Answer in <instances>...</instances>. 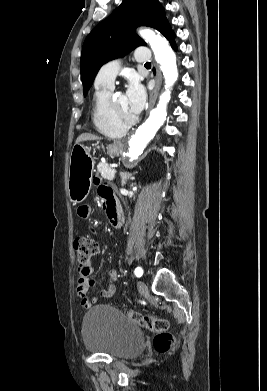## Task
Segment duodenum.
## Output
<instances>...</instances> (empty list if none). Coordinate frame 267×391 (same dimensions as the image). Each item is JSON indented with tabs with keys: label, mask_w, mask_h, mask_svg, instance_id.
<instances>
[{
	"label": "duodenum",
	"mask_w": 267,
	"mask_h": 391,
	"mask_svg": "<svg viewBox=\"0 0 267 391\" xmlns=\"http://www.w3.org/2000/svg\"><path fill=\"white\" fill-rule=\"evenodd\" d=\"M110 221H111V224L115 227V228H120L123 224V217L121 215V213L119 212H114L111 216H110Z\"/></svg>",
	"instance_id": "duodenum-1"
}]
</instances>
